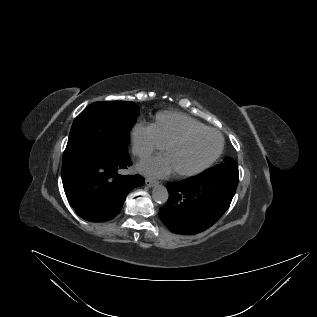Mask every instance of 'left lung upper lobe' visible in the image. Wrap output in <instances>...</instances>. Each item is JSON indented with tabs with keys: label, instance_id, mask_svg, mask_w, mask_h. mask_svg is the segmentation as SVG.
I'll list each match as a JSON object with an SVG mask.
<instances>
[{
	"label": "left lung upper lobe",
	"instance_id": "obj_1",
	"mask_svg": "<svg viewBox=\"0 0 317 317\" xmlns=\"http://www.w3.org/2000/svg\"><path fill=\"white\" fill-rule=\"evenodd\" d=\"M204 173L209 175L225 176L234 179H238L239 177L236 163L230 157L225 158L224 162L221 165H217L211 169H208Z\"/></svg>",
	"mask_w": 317,
	"mask_h": 317
}]
</instances>
